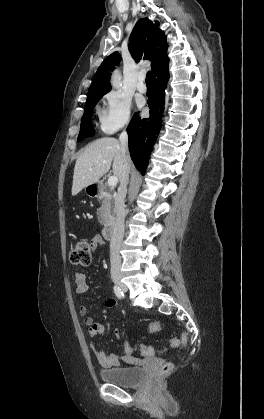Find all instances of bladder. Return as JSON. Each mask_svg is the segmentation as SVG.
Listing matches in <instances>:
<instances>
[{"label": "bladder", "instance_id": "31cf9c89", "mask_svg": "<svg viewBox=\"0 0 264 419\" xmlns=\"http://www.w3.org/2000/svg\"><path fill=\"white\" fill-rule=\"evenodd\" d=\"M144 375L145 370L139 365L114 367L100 371V377L104 382L120 387L136 386L141 382Z\"/></svg>", "mask_w": 264, "mask_h": 419}]
</instances>
